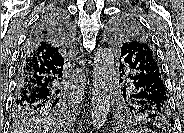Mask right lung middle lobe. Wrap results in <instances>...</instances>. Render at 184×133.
Masks as SVG:
<instances>
[{
  "instance_id": "obj_1",
  "label": "right lung middle lobe",
  "mask_w": 184,
  "mask_h": 133,
  "mask_svg": "<svg viewBox=\"0 0 184 133\" xmlns=\"http://www.w3.org/2000/svg\"><path fill=\"white\" fill-rule=\"evenodd\" d=\"M66 97H52L47 103L40 105H15L16 116H27L34 113L54 114L61 112L66 107Z\"/></svg>"
}]
</instances>
